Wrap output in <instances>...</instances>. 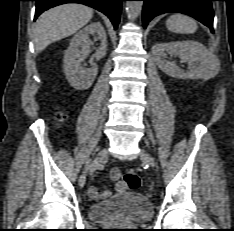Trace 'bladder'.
<instances>
[{"label":"bladder","mask_w":234,"mask_h":231,"mask_svg":"<svg viewBox=\"0 0 234 231\" xmlns=\"http://www.w3.org/2000/svg\"><path fill=\"white\" fill-rule=\"evenodd\" d=\"M88 213L93 221L102 224L114 222L142 224L152 218L153 207L151 201L141 193L129 192L89 206Z\"/></svg>","instance_id":"1"}]
</instances>
